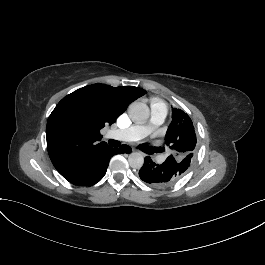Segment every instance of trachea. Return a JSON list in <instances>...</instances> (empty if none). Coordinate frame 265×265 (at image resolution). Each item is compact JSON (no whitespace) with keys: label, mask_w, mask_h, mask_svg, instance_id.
Masks as SVG:
<instances>
[{"label":"trachea","mask_w":265,"mask_h":265,"mask_svg":"<svg viewBox=\"0 0 265 265\" xmlns=\"http://www.w3.org/2000/svg\"><path fill=\"white\" fill-rule=\"evenodd\" d=\"M109 144H110V146H112V147H117L116 142L113 141V140H110V141H109Z\"/></svg>","instance_id":"3493384b"}]
</instances>
